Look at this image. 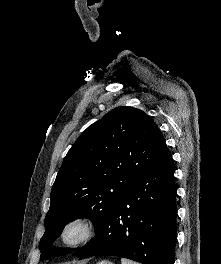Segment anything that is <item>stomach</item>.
I'll list each match as a JSON object with an SVG mask.
<instances>
[{
	"label": "stomach",
	"mask_w": 221,
	"mask_h": 264,
	"mask_svg": "<svg viewBox=\"0 0 221 264\" xmlns=\"http://www.w3.org/2000/svg\"><path fill=\"white\" fill-rule=\"evenodd\" d=\"M97 264H114V263H112L110 261L103 260V261L98 262Z\"/></svg>",
	"instance_id": "1"
}]
</instances>
